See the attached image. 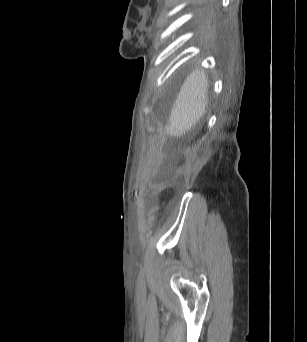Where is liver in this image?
Here are the masks:
<instances>
[{
  "label": "liver",
  "mask_w": 307,
  "mask_h": 342,
  "mask_svg": "<svg viewBox=\"0 0 307 342\" xmlns=\"http://www.w3.org/2000/svg\"><path fill=\"white\" fill-rule=\"evenodd\" d=\"M208 76L204 70H192L180 88L170 112L167 134L185 136L203 118L208 104Z\"/></svg>",
  "instance_id": "1"
}]
</instances>
